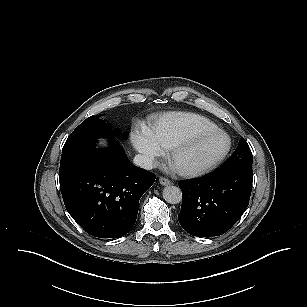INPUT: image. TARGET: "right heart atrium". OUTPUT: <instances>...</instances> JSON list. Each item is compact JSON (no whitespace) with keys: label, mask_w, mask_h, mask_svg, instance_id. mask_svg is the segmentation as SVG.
<instances>
[{"label":"right heart atrium","mask_w":307,"mask_h":307,"mask_svg":"<svg viewBox=\"0 0 307 307\" xmlns=\"http://www.w3.org/2000/svg\"><path fill=\"white\" fill-rule=\"evenodd\" d=\"M131 137L135 149L146 166H152L156 159L162 155L163 148L151 138L146 129L134 131Z\"/></svg>","instance_id":"1"}]
</instances>
